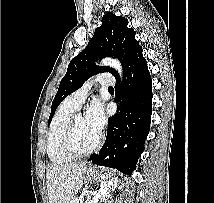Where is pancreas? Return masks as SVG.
Listing matches in <instances>:
<instances>
[{
    "mask_svg": "<svg viewBox=\"0 0 214 203\" xmlns=\"http://www.w3.org/2000/svg\"><path fill=\"white\" fill-rule=\"evenodd\" d=\"M70 203H89L88 201L79 200L78 198H73Z\"/></svg>",
    "mask_w": 214,
    "mask_h": 203,
    "instance_id": "cf45deb5",
    "label": "pancreas"
}]
</instances>
